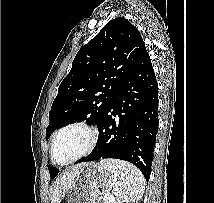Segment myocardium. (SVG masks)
Here are the masks:
<instances>
[{"mask_svg": "<svg viewBox=\"0 0 214 203\" xmlns=\"http://www.w3.org/2000/svg\"><path fill=\"white\" fill-rule=\"evenodd\" d=\"M72 128H82L88 132V134H89L88 145L80 154H78L74 158H72L66 162L59 163L55 160V157H54L56 141L64 131H66L68 129H72ZM98 137H99L98 130L94 126H92L88 123H85V122H73V123L63 126L54 134V136L52 138L51 149H50V157H51L52 162L57 165L65 166V165H69L71 163H74V162L82 159L83 157L90 154L92 152V150L95 148L97 141H98Z\"/></svg>", "mask_w": 214, "mask_h": 203, "instance_id": "obj_1", "label": "myocardium"}]
</instances>
